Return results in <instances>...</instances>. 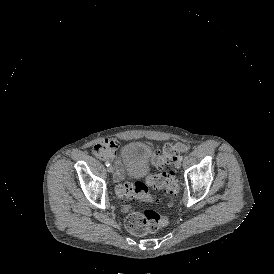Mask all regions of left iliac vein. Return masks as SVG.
Instances as JSON below:
<instances>
[{
  "label": "left iliac vein",
  "instance_id": "1",
  "mask_svg": "<svg viewBox=\"0 0 274 274\" xmlns=\"http://www.w3.org/2000/svg\"><path fill=\"white\" fill-rule=\"evenodd\" d=\"M174 167H175L176 169H180V167H181V161L176 160L175 163H174Z\"/></svg>",
  "mask_w": 274,
  "mask_h": 274
}]
</instances>
